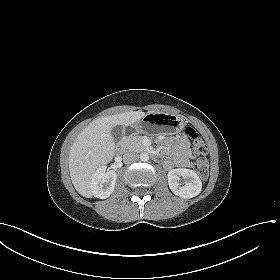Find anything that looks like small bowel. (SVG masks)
I'll return each instance as SVG.
<instances>
[{
	"instance_id": "obj_1",
	"label": "small bowel",
	"mask_w": 280,
	"mask_h": 280,
	"mask_svg": "<svg viewBox=\"0 0 280 280\" xmlns=\"http://www.w3.org/2000/svg\"><path fill=\"white\" fill-rule=\"evenodd\" d=\"M166 151L169 157L163 159V166L167 170L188 167L193 159L190 144L184 135L172 141Z\"/></svg>"
}]
</instances>
